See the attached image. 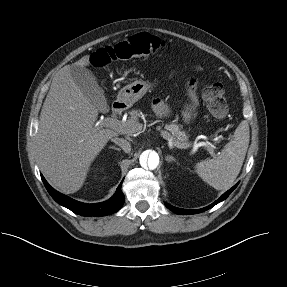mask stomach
Masks as SVG:
<instances>
[{
  "label": "stomach",
  "instance_id": "0dacf381",
  "mask_svg": "<svg viewBox=\"0 0 287 287\" xmlns=\"http://www.w3.org/2000/svg\"><path fill=\"white\" fill-rule=\"evenodd\" d=\"M150 86L151 85L146 81L136 80L123 87L119 91L117 98L126 106L130 107L146 94Z\"/></svg>",
  "mask_w": 287,
  "mask_h": 287
}]
</instances>
